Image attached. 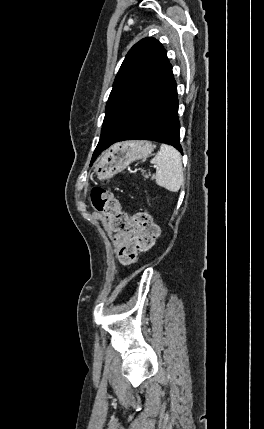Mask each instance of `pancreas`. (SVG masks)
<instances>
[{
  "mask_svg": "<svg viewBox=\"0 0 264 429\" xmlns=\"http://www.w3.org/2000/svg\"><path fill=\"white\" fill-rule=\"evenodd\" d=\"M142 174H143L145 177H148V175L145 173V171H144V170H142ZM149 175H151V174H149Z\"/></svg>",
  "mask_w": 264,
  "mask_h": 429,
  "instance_id": "obj_1",
  "label": "pancreas"
}]
</instances>
